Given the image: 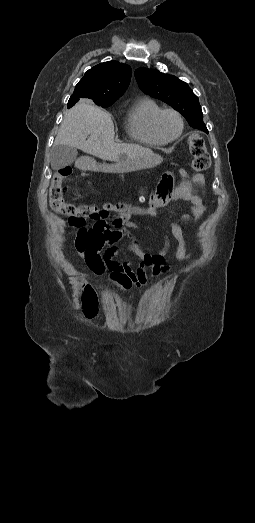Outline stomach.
<instances>
[{"mask_svg": "<svg viewBox=\"0 0 255 523\" xmlns=\"http://www.w3.org/2000/svg\"><path fill=\"white\" fill-rule=\"evenodd\" d=\"M162 163L159 155L153 151H148L145 158H135V160H126L124 164L111 165L108 172L111 176H118L120 172H137V170H147V168L157 167Z\"/></svg>", "mask_w": 255, "mask_h": 523, "instance_id": "stomach-1", "label": "stomach"}]
</instances>
